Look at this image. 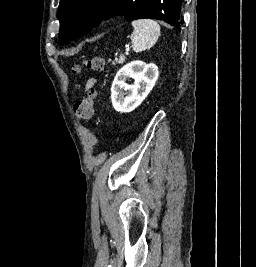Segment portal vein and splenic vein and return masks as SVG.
<instances>
[{"label": "portal vein and splenic vein", "mask_w": 256, "mask_h": 267, "mask_svg": "<svg viewBox=\"0 0 256 267\" xmlns=\"http://www.w3.org/2000/svg\"><path fill=\"white\" fill-rule=\"evenodd\" d=\"M131 52H132V49L131 48H128L127 51L125 52V55L126 56H129Z\"/></svg>", "instance_id": "18ae733b"}]
</instances>
